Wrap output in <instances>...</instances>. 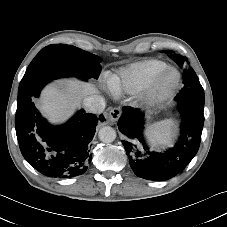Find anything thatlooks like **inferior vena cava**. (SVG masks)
I'll use <instances>...</instances> for the list:
<instances>
[{"label": "inferior vena cava", "mask_w": 227, "mask_h": 227, "mask_svg": "<svg viewBox=\"0 0 227 227\" xmlns=\"http://www.w3.org/2000/svg\"><path fill=\"white\" fill-rule=\"evenodd\" d=\"M84 107L89 113L99 114L105 109L104 97L94 94L84 99Z\"/></svg>", "instance_id": "inferior-vena-cava-1"}]
</instances>
